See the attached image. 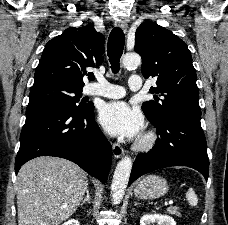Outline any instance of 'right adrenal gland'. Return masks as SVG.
<instances>
[{"label":"right adrenal gland","mask_w":228,"mask_h":225,"mask_svg":"<svg viewBox=\"0 0 228 225\" xmlns=\"http://www.w3.org/2000/svg\"><path fill=\"white\" fill-rule=\"evenodd\" d=\"M86 201H88V203H90L89 189H87V191H86V197H85L84 201H81V205H84V203H86Z\"/></svg>","instance_id":"obj_1"}]
</instances>
